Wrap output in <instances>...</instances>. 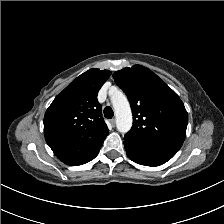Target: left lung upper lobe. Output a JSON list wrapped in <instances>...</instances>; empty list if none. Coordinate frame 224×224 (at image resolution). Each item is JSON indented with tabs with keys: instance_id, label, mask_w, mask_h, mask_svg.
<instances>
[{
	"instance_id": "5c2ea615",
	"label": "left lung upper lobe",
	"mask_w": 224,
	"mask_h": 224,
	"mask_svg": "<svg viewBox=\"0 0 224 224\" xmlns=\"http://www.w3.org/2000/svg\"><path fill=\"white\" fill-rule=\"evenodd\" d=\"M128 96L133 126L128 135L179 150L186 136L188 114L179 96L148 68L134 65L113 74Z\"/></svg>"
}]
</instances>
